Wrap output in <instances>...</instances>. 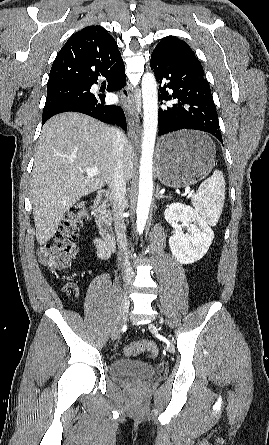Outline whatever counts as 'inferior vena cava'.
<instances>
[{"instance_id":"1","label":"inferior vena cava","mask_w":269,"mask_h":445,"mask_svg":"<svg viewBox=\"0 0 269 445\" xmlns=\"http://www.w3.org/2000/svg\"><path fill=\"white\" fill-rule=\"evenodd\" d=\"M110 134L112 137L113 159H114V174L111 187V198L114 209V221L116 237L119 244V253L125 258V273L126 279L132 277V268L127 261V239H126V227L124 218L122 216L124 208L123 202L126 195V180L123 169V150L126 143L125 133L117 127L110 128Z\"/></svg>"}]
</instances>
